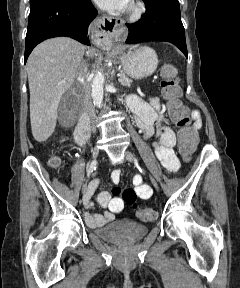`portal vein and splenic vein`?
Here are the masks:
<instances>
[{
	"label": "portal vein and splenic vein",
	"mask_w": 240,
	"mask_h": 288,
	"mask_svg": "<svg viewBox=\"0 0 240 288\" xmlns=\"http://www.w3.org/2000/svg\"><path fill=\"white\" fill-rule=\"evenodd\" d=\"M118 76H122L121 74H118ZM62 82H64V80H62Z\"/></svg>",
	"instance_id": "obj_1"
}]
</instances>
